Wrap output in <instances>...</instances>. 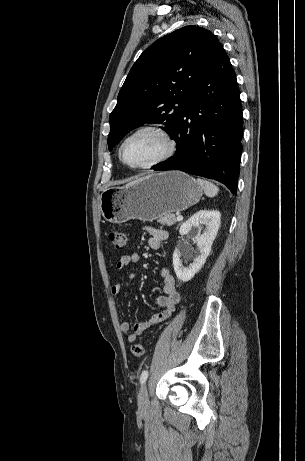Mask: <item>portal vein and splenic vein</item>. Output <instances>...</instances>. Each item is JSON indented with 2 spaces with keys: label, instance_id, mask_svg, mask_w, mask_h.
<instances>
[{
  "label": "portal vein and splenic vein",
  "instance_id": "18ae733b",
  "mask_svg": "<svg viewBox=\"0 0 305 461\" xmlns=\"http://www.w3.org/2000/svg\"><path fill=\"white\" fill-rule=\"evenodd\" d=\"M177 220H178V221H182V220H183V217H182L180 214H177Z\"/></svg>",
  "mask_w": 305,
  "mask_h": 461
}]
</instances>
